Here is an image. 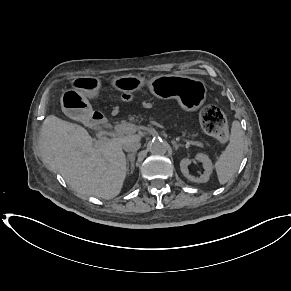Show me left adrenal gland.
I'll return each instance as SVG.
<instances>
[{"instance_id": "a2214340", "label": "left adrenal gland", "mask_w": 291, "mask_h": 291, "mask_svg": "<svg viewBox=\"0 0 291 291\" xmlns=\"http://www.w3.org/2000/svg\"><path fill=\"white\" fill-rule=\"evenodd\" d=\"M172 144H173V146H174V148H175V150L177 151V149L180 147V146H182V144H178L176 141H174V140H172Z\"/></svg>"}]
</instances>
